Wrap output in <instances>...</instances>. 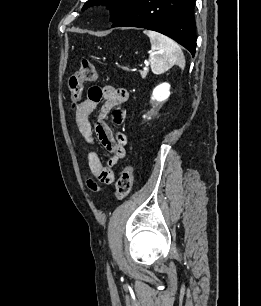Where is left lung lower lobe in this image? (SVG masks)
<instances>
[{"label":"left lung lower lobe","mask_w":261,"mask_h":306,"mask_svg":"<svg viewBox=\"0 0 261 306\" xmlns=\"http://www.w3.org/2000/svg\"><path fill=\"white\" fill-rule=\"evenodd\" d=\"M195 0H134L112 27H139L160 32L183 45L194 56Z\"/></svg>","instance_id":"0a47b994"}]
</instances>
